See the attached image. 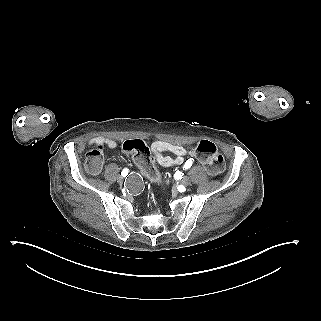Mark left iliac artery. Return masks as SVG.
Listing matches in <instances>:
<instances>
[{
	"instance_id": "obj_1",
	"label": "left iliac artery",
	"mask_w": 321,
	"mask_h": 321,
	"mask_svg": "<svg viewBox=\"0 0 321 321\" xmlns=\"http://www.w3.org/2000/svg\"><path fill=\"white\" fill-rule=\"evenodd\" d=\"M192 160H188V161H186V163L184 164V167L183 168H185V169H188V168H190L191 167V165H192Z\"/></svg>"
}]
</instances>
